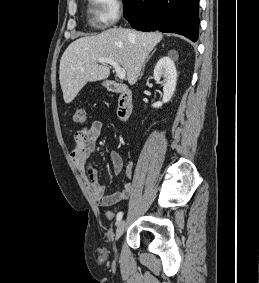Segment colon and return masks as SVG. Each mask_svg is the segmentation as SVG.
I'll return each mask as SVG.
<instances>
[{
    "label": "colon",
    "instance_id": "colon-1",
    "mask_svg": "<svg viewBox=\"0 0 259 283\" xmlns=\"http://www.w3.org/2000/svg\"><path fill=\"white\" fill-rule=\"evenodd\" d=\"M74 120L77 123H84L87 121L86 110L83 106H78L74 112Z\"/></svg>",
    "mask_w": 259,
    "mask_h": 283
}]
</instances>
